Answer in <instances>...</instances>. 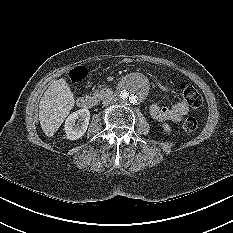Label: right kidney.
<instances>
[{
    "mask_svg": "<svg viewBox=\"0 0 233 233\" xmlns=\"http://www.w3.org/2000/svg\"><path fill=\"white\" fill-rule=\"evenodd\" d=\"M89 120L90 112L88 109H79L71 113L64 125L66 138L69 140L81 138L87 131Z\"/></svg>",
    "mask_w": 233,
    "mask_h": 233,
    "instance_id": "1",
    "label": "right kidney"
}]
</instances>
